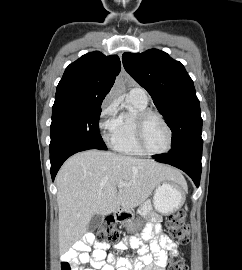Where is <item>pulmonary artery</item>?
<instances>
[{
  "label": "pulmonary artery",
  "mask_w": 242,
  "mask_h": 270,
  "mask_svg": "<svg viewBox=\"0 0 242 270\" xmlns=\"http://www.w3.org/2000/svg\"><path fill=\"white\" fill-rule=\"evenodd\" d=\"M129 95L141 101H147V93L142 87H134L130 90Z\"/></svg>",
  "instance_id": "obj_1"
}]
</instances>
